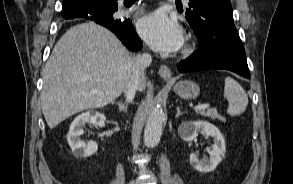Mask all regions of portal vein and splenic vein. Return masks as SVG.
Here are the masks:
<instances>
[{"instance_id": "1", "label": "portal vein and splenic vein", "mask_w": 293, "mask_h": 184, "mask_svg": "<svg viewBox=\"0 0 293 184\" xmlns=\"http://www.w3.org/2000/svg\"><path fill=\"white\" fill-rule=\"evenodd\" d=\"M99 90H94L93 93H98ZM209 104H202V105H198L196 107H194L195 111H200V110H205L209 108Z\"/></svg>"}]
</instances>
